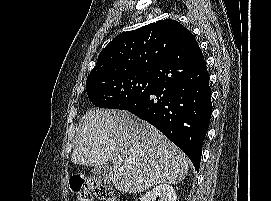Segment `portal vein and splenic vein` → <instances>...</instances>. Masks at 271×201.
<instances>
[{
  "mask_svg": "<svg viewBox=\"0 0 271 201\" xmlns=\"http://www.w3.org/2000/svg\"><path fill=\"white\" fill-rule=\"evenodd\" d=\"M125 161H126L127 163H133V162H134V161H132V159H129V158H126Z\"/></svg>",
  "mask_w": 271,
  "mask_h": 201,
  "instance_id": "1",
  "label": "portal vein and splenic vein"
}]
</instances>
